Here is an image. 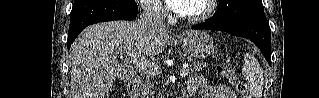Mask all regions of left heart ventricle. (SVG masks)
Returning a JSON list of instances; mask_svg holds the SVG:
<instances>
[{
	"label": "left heart ventricle",
	"mask_w": 319,
	"mask_h": 98,
	"mask_svg": "<svg viewBox=\"0 0 319 98\" xmlns=\"http://www.w3.org/2000/svg\"><path fill=\"white\" fill-rule=\"evenodd\" d=\"M204 7L202 0H192L187 4V9L183 11V14L191 15L200 12Z\"/></svg>",
	"instance_id": "left-heart-ventricle-1"
}]
</instances>
